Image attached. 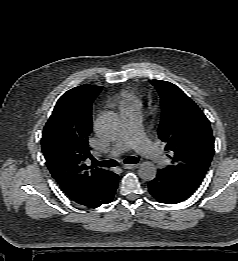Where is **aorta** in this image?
Returning a JSON list of instances; mask_svg holds the SVG:
<instances>
[{"label":"aorta","mask_w":238,"mask_h":261,"mask_svg":"<svg viewBox=\"0 0 238 261\" xmlns=\"http://www.w3.org/2000/svg\"><path fill=\"white\" fill-rule=\"evenodd\" d=\"M95 128L101 137L114 140L120 131V119L115 113L108 112L98 118ZM156 173V167L150 161L142 162L138 169V174L144 181L153 180Z\"/></svg>","instance_id":"aorta-1"}]
</instances>
